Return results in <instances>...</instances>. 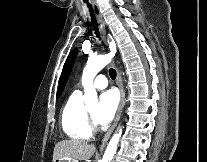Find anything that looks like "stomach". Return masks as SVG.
I'll return each mask as SVG.
<instances>
[{"instance_id": "obj_1", "label": "stomach", "mask_w": 207, "mask_h": 162, "mask_svg": "<svg viewBox=\"0 0 207 162\" xmlns=\"http://www.w3.org/2000/svg\"><path fill=\"white\" fill-rule=\"evenodd\" d=\"M53 162H64V161H63V160H58V159H56V160H54ZM69 162H72V161L69 160Z\"/></svg>"}]
</instances>
